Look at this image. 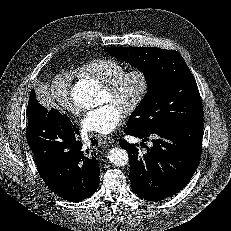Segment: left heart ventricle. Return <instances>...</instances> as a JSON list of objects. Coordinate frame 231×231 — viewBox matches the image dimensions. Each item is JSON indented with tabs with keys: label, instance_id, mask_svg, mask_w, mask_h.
<instances>
[{
	"label": "left heart ventricle",
	"instance_id": "b2bd125f",
	"mask_svg": "<svg viewBox=\"0 0 231 231\" xmlns=\"http://www.w3.org/2000/svg\"><path fill=\"white\" fill-rule=\"evenodd\" d=\"M138 87V79L130 77L123 83L119 91L114 95L109 94L105 89H103L100 104L111 101L123 109V107L133 98L138 90Z\"/></svg>",
	"mask_w": 231,
	"mask_h": 231
}]
</instances>
